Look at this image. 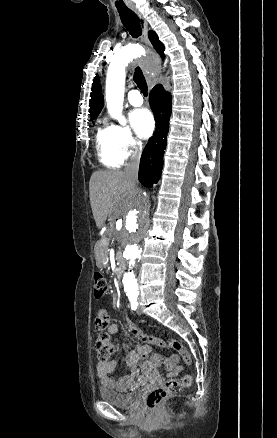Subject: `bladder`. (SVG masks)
I'll list each match as a JSON object with an SVG mask.
<instances>
[{
	"label": "bladder",
	"mask_w": 277,
	"mask_h": 438,
	"mask_svg": "<svg viewBox=\"0 0 277 438\" xmlns=\"http://www.w3.org/2000/svg\"><path fill=\"white\" fill-rule=\"evenodd\" d=\"M97 396L101 398L103 402L110 403L111 405L121 409H134L141 400L140 391H132L127 394H123L109 387H104L98 390Z\"/></svg>",
	"instance_id": "bladder-1"
}]
</instances>
